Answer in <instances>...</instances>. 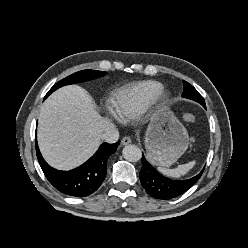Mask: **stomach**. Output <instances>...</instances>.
Instances as JSON below:
<instances>
[{
    "label": "stomach",
    "instance_id": "obj_1",
    "mask_svg": "<svg viewBox=\"0 0 248 248\" xmlns=\"http://www.w3.org/2000/svg\"><path fill=\"white\" fill-rule=\"evenodd\" d=\"M189 136L183 124L167 108L156 111L145 134L149 159L162 167L175 163L187 150Z\"/></svg>",
    "mask_w": 248,
    "mask_h": 248
}]
</instances>
